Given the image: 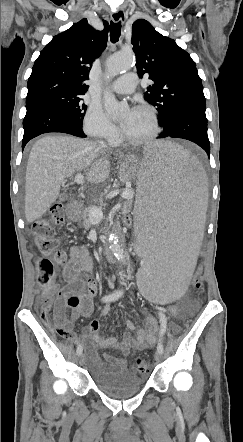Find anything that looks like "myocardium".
<instances>
[{
  "instance_id": "myocardium-1",
  "label": "myocardium",
  "mask_w": 243,
  "mask_h": 442,
  "mask_svg": "<svg viewBox=\"0 0 243 442\" xmlns=\"http://www.w3.org/2000/svg\"><path fill=\"white\" fill-rule=\"evenodd\" d=\"M136 110H142V111H146V112L150 113V115L153 119L154 129H153V132L149 136L141 138V139H131V138L127 137L123 133V131L121 130V133H120L121 141L124 143H127L129 145H134V146L144 145V144H147V143L153 141L154 139L157 138V136L159 135L160 130H161L159 116H158V113L155 110V108H153L150 105L143 104V105L138 106L136 108Z\"/></svg>"
}]
</instances>
